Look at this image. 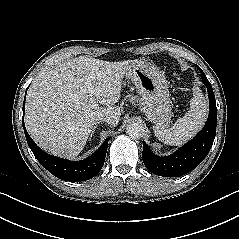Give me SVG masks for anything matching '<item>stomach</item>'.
I'll use <instances>...</instances> for the list:
<instances>
[{
    "mask_svg": "<svg viewBox=\"0 0 239 239\" xmlns=\"http://www.w3.org/2000/svg\"><path fill=\"white\" fill-rule=\"evenodd\" d=\"M125 76L136 87L140 110L154 126L166 127L170 122L172 111L164 74L148 62L134 61Z\"/></svg>",
    "mask_w": 239,
    "mask_h": 239,
    "instance_id": "stomach-1",
    "label": "stomach"
}]
</instances>
